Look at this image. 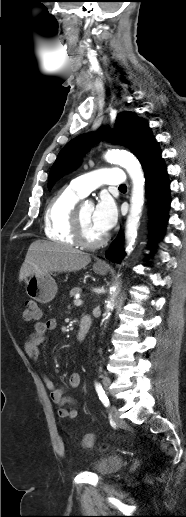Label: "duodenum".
<instances>
[{
  "label": "duodenum",
  "mask_w": 186,
  "mask_h": 517,
  "mask_svg": "<svg viewBox=\"0 0 186 517\" xmlns=\"http://www.w3.org/2000/svg\"><path fill=\"white\" fill-rule=\"evenodd\" d=\"M91 325H92V320H91L90 316L83 315L80 320L79 327H78V330L76 333V338H77L78 342L85 341V339L90 331Z\"/></svg>",
  "instance_id": "1"
}]
</instances>
